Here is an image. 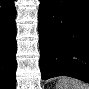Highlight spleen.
Returning <instances> with one entry per match:
<instances>
[{
	"instance_id": "1",
	"label": "spleen",
	"mask_w": 89,
	"mask_h": 89,
	"mask_svg": "<svg viewBox=\"0 0 89 89\" xmlns=\"http://www.w3.org/2000/svg\"><path fill=\"white\" fill-rule=\"evenodd\" d=\"M58 88L65 89H86L87 86L80 81H76L74 79L63 77L57 81Z\"/></svg>"
}]
</instances>
